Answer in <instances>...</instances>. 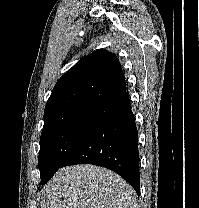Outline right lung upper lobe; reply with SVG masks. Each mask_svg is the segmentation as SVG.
<instances>
[{
  "mask_svg": "<svg viewBox=\"0 0 199 208\" xmlns=\"http://www.w3.org/2000/svg\"><path fill=\"white\" fill-rule=\"evenodd\" d=\"M125 91V77L117 57L106 50L95 51L58 80L47 101L44 120L73 108L101 107Z\"/></svg>",
  "mask_w": 199,
  "mask_h": 208,
  "instance_id": "1",
  "label": "right lung upper lobe"
}]
</instances>
